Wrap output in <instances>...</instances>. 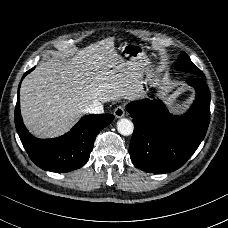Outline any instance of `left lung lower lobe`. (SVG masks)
Returning <instances> with one entry per match:
<instances>
[{
    "instance_id": "1",
    "label": "left lung lower lobe",
    "mask_w": 228,
    "mask_h": 228,
    "mask_svg": "<svg viewBox=\"0 0 228 228\" xmlns=\"http://www.w3.org/2000/svg\"><path fill=\"white\" fill-rule=\"evenodd\" d=\"M187 83L195 88L196 98L182 116L171 115L160 100H138L126 106L134 123L129 153L139 169L173 172L187 162L204 139L210 120V91L202 78Z\"/></svg>"
}]
</instances>
